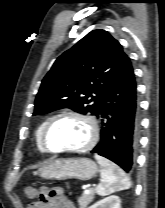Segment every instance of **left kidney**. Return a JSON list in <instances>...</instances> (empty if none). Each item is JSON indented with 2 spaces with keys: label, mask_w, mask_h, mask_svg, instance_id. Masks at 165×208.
Segmentation results:
<instances>
[{
  "label": "left kidney",
  "mask_w": 165,
  "mask_h": 208,
  "mask_svg": "<svg viewBox=\"0 0 165 208\" xmlns=\"http://www.w3.org/2000/svg\"><path fill=\"white\" fill-rule=\"evenodd\" d=\"M89 208H121L120 198L116 195H111L94 203Z\"/></svg>",
  "instance_id": "5707ae66"
}]
</instances>
